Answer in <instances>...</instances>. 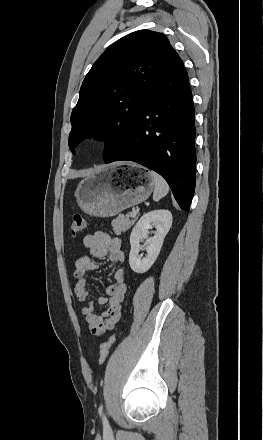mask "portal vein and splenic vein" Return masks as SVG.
Segmentation results:
<instances>
[{"instance_id": "obj_1", "label": "portal vein and splenic vein", "mask_w": 263, "mask_h": 440, "mask_svg": "<svg viewBox=\"0 0 263 440\" xmlns=\"http://www.w3.org/2000/svg\"><path fill=\"white\" fill-rule=\"evenodd\" d=\"M137 215V211L133 209L130 213V217H135Z\"/></svg>"}]
</instances>
